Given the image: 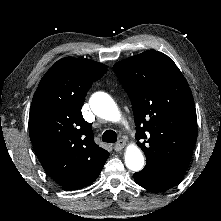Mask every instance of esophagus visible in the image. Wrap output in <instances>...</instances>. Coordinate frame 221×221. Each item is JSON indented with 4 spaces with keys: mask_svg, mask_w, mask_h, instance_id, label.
I'll return each mask as SVG.
<instances>
[{
    "mask_svg": "<svg viewBox=\"0 0 221 221\" xmlns=\"http://www.w3.org/2000/svg\"><path fill=\"white\" fill-rule=\"evenodd\" d=\"M126 145L125 140L120 139L114 146L115 151H120L122 150Z\"/></svg>",
    "mask_w": 221,
    "mask_h": 221,
    "instance_id": "34e87169",
    "label": "esophagus"
}]
</instances>
